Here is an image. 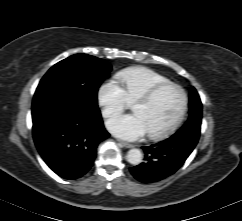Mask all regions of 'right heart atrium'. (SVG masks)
<instances>
[{
  "mask_svg": "<svg viewBox=\"0 0 242 221\" xmlns=\"http://www.w3.org/2000/svg\"><path fill=\"white\" fill-rule=\"evenodd\" d=\"M97 101L106 118L123 111L130 103L122 86L114 80H105L99 85Z\"/></svg>",
  "mask_w": 242,
  "mask_h": 221,
  "instance_id": "d8ad5b80",
  "label": "right heart atrium"
}]
</instances>
